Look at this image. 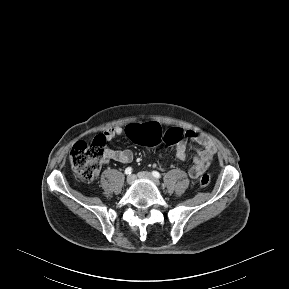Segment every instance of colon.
<instances>
[{
	"label": "colon",
	"instance_id": "obj_1",
	"mask_svg": "<svg viewBox=\"0 0 289 289\" xmlns=\"http://www.w3.org/2000/svg\"><path fill=\"white\" fill-rule=\"evenodd\" d=\"M126 135L138 144L152 146L160 142L172 144L181 141L185 132L178 128H171L166 131L158 123L130 124L126 128ZM105 140L97 136L91 144L84 141L77 142L70 153L72 169L81 182H91L97 175L100 163L105 155ZM209 174H203L199 183L202 187L210 184Z\"/></svg>",
	"mask_w": 289,
	"mask_h": 289
}]
</instances>
